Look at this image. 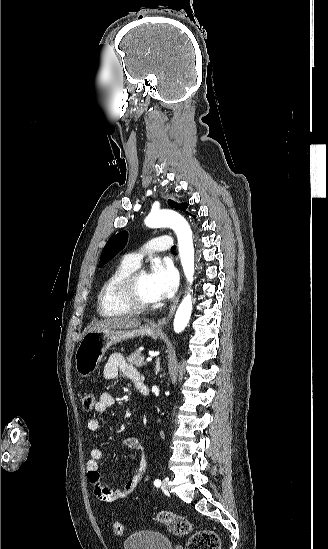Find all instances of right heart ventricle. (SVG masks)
Returning a JSON list of instances; mask_svg holds the SVG:
<instances>
[{"mask_svg":"<svg viewBox=\"0 0 328 549\" xmlns=\"http://www.w3.org/2000/svg\"><path fill=\"white\" fill-rule=\"evenodd\" d=\"M139 263L133 261L131 255L123 256L102 284L97 296V312L103 322L104 319H131L130 315L117 312L113 308L114 305L119 304L114 297V288L118 281L127 273L135 270Z\"/></svg>","mask_w":328,"mask_h":549,"instance_id":"1","label":"right heart ventricle"}]
</instances>
